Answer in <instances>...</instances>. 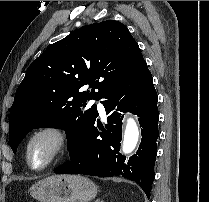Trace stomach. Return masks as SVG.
I'll return each instance as SVG.
<instances>
[{"instance_id":"1","label":"stomach","mask_w":209,"mask_h":202,"mask_svg":"<svg viewBox=\"0 0 209 202\" xmlns=\"http://www.w3.org/2000/svg\"><path fill=\"white\" fill-rule=\"evenodd\" d=\"M29 192L39 202H89L97 186L81 175H52L34 183Z\"/></svg>"}]
</instances>
